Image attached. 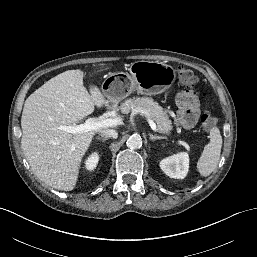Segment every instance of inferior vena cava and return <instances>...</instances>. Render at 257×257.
<instances>
[{
	"label": "inferior vena cava",
	"instance_id": "602c4592",
	"mask_svg": "<svg viewBox=\"0 0 257 257\" xmlns=\"http://www.w3.org/2000/svg\"><path fill=\"white\" fill-rule=\"evenodd\" d=\"M100 133H101V136L103 135V136H106L108 138L116 139L118 137V133L114 129L102 130V131H100Z\"/></svg>",
	"mask_w": 257,
	"mask_h": 257
}]
</instances>
